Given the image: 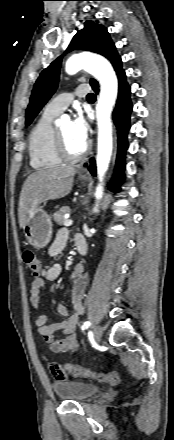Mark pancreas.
I'll list each match as a JSON object with an SVG mask.
<instances>
[{"label":"pancreas","instance_id":"obj_1","mask_svg":"<svg viewBox=\"0 0 174 440\" xmlns=\"http://www.w3.org/2000/svg\"><path fill=\"white\" fill-rule=\"evenodd\" d=\"M70 212H71L70 207H68V206L61 207L58 211H56L53 214V219H54L55 223L58 225H64V222L66 220L64 218V215L67 213H70Z\"/></svg>","mask_w":174,"mask_h":440}]
</instances>
